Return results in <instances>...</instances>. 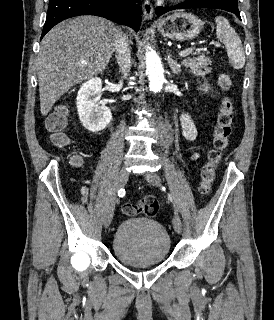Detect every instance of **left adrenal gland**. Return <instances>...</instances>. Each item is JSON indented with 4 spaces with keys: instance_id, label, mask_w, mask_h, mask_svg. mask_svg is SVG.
<instances>
[{
    "instance_id": "1",
    "label": "left adrenal gland",
    "mask_w": 274,
    "mask_h": 320,
    "mask_svg": "<svg viewBox=\"0 0 274 320\" xmlns=\"http://www.w3.org/2000/svg\"><path fill=\"white\" fill-rule=\"evenodd\" d=\"M167 62L169 64L170 70H172L173 74H179L181 72V64H178L176 60H173L171 54H168Z\"/></svg>"
}]
</instances>
